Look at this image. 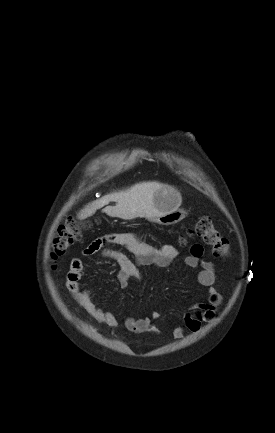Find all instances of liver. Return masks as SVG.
I'll return each instance as SVG.
<instances>
[{
    "label": "liver",
    "mask_w": 275,
    "mask_h": 433,
    "mask_svg": "<svg viewBox=\"0 0 275 433\" xmlns=\"http://www.w3.org/2000/svg\"><path fill=\"white\" fill-rule=\"evenodd\" d=\"M163 186L158 182H142L126 190L105 195L86 206L80 213L79 218H87L94 214L97 209L113 201L116 202L115 206H106L103 209V212L111 217L125 220L137 217L152 219L158 215L153 202L154 193Z\"/></svg>",
    "instance_id": "1"
}]
</instances>
